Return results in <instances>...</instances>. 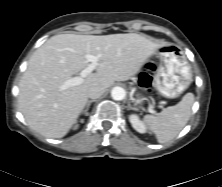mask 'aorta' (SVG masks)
<instances>
[{
    "instance_id": "1",
    "label": "aorta",
    "mask_w": 222,
    "mask_h": 187,
    "mask_svg": "<svg viewBox=\"0 0 222 187\" xmlns=\"http://www.w3.org/2000/svg\"><path fill=\"white\" fill-rule=\"evenodd\" d=\"M125 96H126V91L122 87L117 86L111 90V97L114 100H117V101L123 100L125 98Z\"/></svg>"
}]
</instances>
